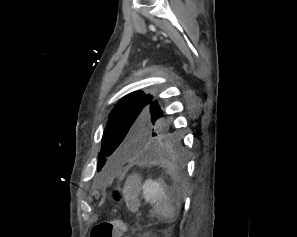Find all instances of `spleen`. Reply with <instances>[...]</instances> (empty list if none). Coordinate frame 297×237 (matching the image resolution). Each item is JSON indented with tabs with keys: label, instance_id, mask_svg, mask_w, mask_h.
Returning <instances> with one entry per match:
<instances>
[{
	"label": "spleen",
	"instance_id": "spleen-1",
	"mask_svg": "<svg viewBox=\"0 0 297 237\" xmlns=\"http://www.w3.org/2000/svg\"><path fill=\"white\" fill-rule=\"evenodd\" d=\"M143 196L154 205L155 212L164 220L171 222L176 216V209L172 204L171 194L157 181L146 180L143 184Z\"/></svg>",
	"mask_w": 297,
	"mask_h": 237
}]
</instances>
